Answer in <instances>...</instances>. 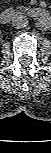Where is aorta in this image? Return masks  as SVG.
Wrapping results in <instances>:
<instances>
[{
	"label": "aorta",
	"instance_id": "1",
	"mask_svg": "<svg viewBox=\"0 0 51 153\" xmlns=\"http://www.w3.org/2000/svg\"><path fill=\"white\" fill-rule=\"evenodd\" d=\"M36 27L42 31L49 30L51 27L50 16H41L36 22Z\"/></svg>",
	"mask_w": 51,
	"mask_h": 153
}]
</instances>
